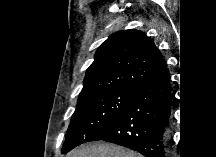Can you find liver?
Segmentation results:
<instances>
[{
    "label": "liver",
    "instance_id": "obj_1",
    "mask_svg": "<svg viewBox=\"0 0 216 157\" xmlns=\"http://www.w3.org/2000/svg\"><path fill=\"white\" fill-rule=\"evenodd\" d=\"M68 157H140V154L114 144L95 143L70 152Z\"/></svg>",
    "mask_w": 216,
    "mask_h": 157
}]
</instances>
